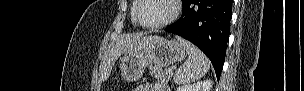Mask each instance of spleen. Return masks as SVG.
Instances as JSON below:
<instances>
[{
  "instance_id": "obj_1",
  "label": "spleen",
  "mask_w": 304,
  "mask_h": 91,
  "mask_svg": "<svg viewBox=\"0 0 304 91\" xmlns=\"http://www.w3.org/2000/svg\"><path fill=\"white\" fill-rule=\"evenodd\" d=\"M177 41L188 53V59L175 72L174 82L179 85H184L199 80L210 68L208 58L190 42L180 37H177Z\"/></svg>"
}]
</instances>
